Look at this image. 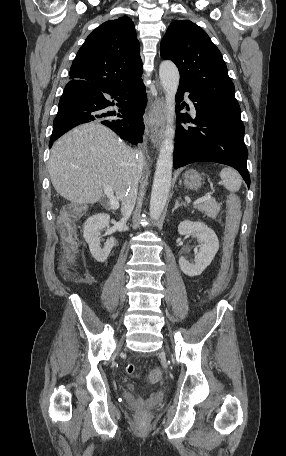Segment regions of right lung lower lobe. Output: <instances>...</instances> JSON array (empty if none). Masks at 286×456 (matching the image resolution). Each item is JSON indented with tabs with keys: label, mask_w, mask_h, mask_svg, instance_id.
I'll return each instance as SVG.
<instances>
[{
	"label": "right lung lower lobe",
	"mask_w": 286,
	"mask_h": 456,
	"mask_svg": "<svg viewBox=\"0 0 286 456\" xmlns=\"http://www.w3.org/2000/svg\"><path fill=\"white\" fill-rule=\"evenodd\" d=\"M146 102L142 79L115 89H102L87 81L71 80L59 101L49 148L71 128L91 121H99L122 139L138 144L142 142L144 132L141 117ZM112 106L119 109L112 111Z\"/></svg>",
	"instance_id": "1"
}]
</instances>
